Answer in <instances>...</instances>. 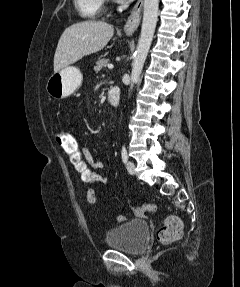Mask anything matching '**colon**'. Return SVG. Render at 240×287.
Segmentation results:
<instances>
[{"label":"colon","instance_id":"obj_1","mask_svg":"<svg viewBox=\"0 0 240 287\" xmlns=\"http://www.w3.org/2000/svg\"><path fill=\"white\" fill-rule=\"evenodd\" d=\"M56 143L67 157L69 163L78 173L80 179L85 183H96V172L85 158L82 148L79 146L75 136L66 130H60L55 135ZM87 199L89 204L95 203V194L93 190L89 189L87 192ZM155 206L153 204H146L140 213L144 211H153ZM119 222L125 220V216H117ZM183 232V224L176 216H169L165 219L163 226L157 232V240L161 244H171L178 241Z\"/></svg>","mask_w":240,"mask_h":287}]
</instances>
